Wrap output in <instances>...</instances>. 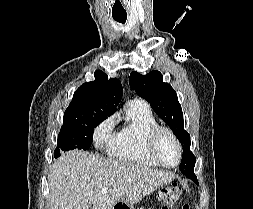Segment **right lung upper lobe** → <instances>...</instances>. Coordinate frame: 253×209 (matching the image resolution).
Wrapping results in <instances>:
<instances>
[{
    "label": "right lung upper lobe",
    "mask_w": 253,
    "mask_h": 209,
    "mask_svg": "<svg viewBox=\"0 0 253 209\" xmlns=\"http://www.w3.org/2000/svg\"><path fill=\"white\" fill-rule=\"evenodd\" d=\"M95 80L82 84L64 112V122L88 114L110 116L119 104L123 89L117 78L108 79L100 70L94 73Z\"/></svg>",
    "instance_id": "cb5924a9"
}]
</instances>
